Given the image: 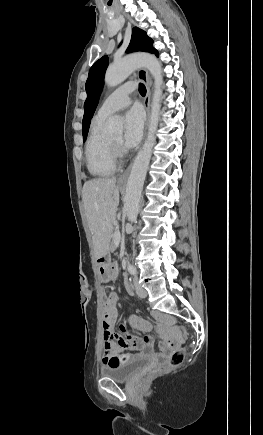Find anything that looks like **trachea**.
<instances>
[{
	"label": "trachea",
	"instance_id": "3493384b",
	"mask_svg": "<svg viewBox=\"0 0 263 435\" xmlns=\"http://www.w3.org/2000/svg\"><path fill=\"white\" fill-rule=\"evenodd\" d=\"M139 93L142 95V96H145V94H146V87H145V85L144 84H139Z\"/></svg>",
	"mask_w": 263,
	"mask_h": 435
}]
</instances>
